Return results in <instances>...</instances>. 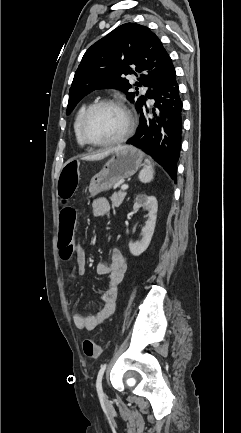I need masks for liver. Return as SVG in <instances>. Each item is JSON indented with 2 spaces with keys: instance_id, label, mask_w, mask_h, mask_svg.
Returning <instances> with one entry per match:
<instances>
[{
  "instance_id": "1",
  "label": "liver",
  "mask_w": 241,
  "mask_h": 433,
  "mask_svg": "<svg viewBox=\"0 0 241 433\" xmlns=\"http://www.w3.org/2000/svg\"><path fill=\"white\" fill-rule=\"evenodd\" d=\"M124 147H126V146H123V147H117V148H114V149H111V150L105 151V152H103V153H100V154L91 155V156H86V157H84L83 159H84V160H100V159H103L104 157H106L107 155H109L110 153H113V152L119 151L120 149H123Z\"/></svg>"
}]
</instances>
